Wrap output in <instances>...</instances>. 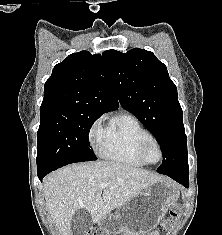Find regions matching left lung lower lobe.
<instances>
[{
  "label": "left lung lower lobe",
  "instance_id": "left-lung-lower-lobe-1",
  "mask_svg": "<svg viewBox=\"0 0 222 235\" xmlns=\"http://www.w3.org/2000/svg\"><path fill=\"white\" fill-rule=\"evenodd\" d=\"M182 184L184 187H189V175H174V174H165Z\"/></svg>",
  "mask_w": 222,
  "mask_h": 235
}]
</instances>
